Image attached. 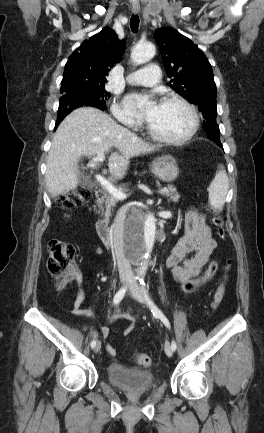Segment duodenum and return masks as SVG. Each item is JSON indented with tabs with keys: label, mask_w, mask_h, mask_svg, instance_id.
I'll return each instance as SVG.
<instances>
[{
	"label": "duodenum",
	"mask_w": 264,
	"mask_h": 433,
	"mask_svg": "<svg viewBox=\"0 0 264 433\" xmlns=\"http://www.w3.org/2000/svg\"><path fill=\"white\" fill-rule=\"evenodd\" d=\"M94 198L96 202H102L105 198V193L102 190H96L94 193ZM96 231L101 240L106 244L110 245L112 242V229L109 224L103 219H97L96 221ZM158 238H160V232L158 234Z\"/></svg>",
	"instance_id": "duodenum-1"
}]
</instances>
